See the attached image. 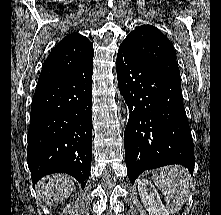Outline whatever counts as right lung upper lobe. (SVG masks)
<instances>
[{
    "mask_svg": "<svg viewBox=\"0 0 221 215\" xmlns=\"http://www.w3.org/2000/svg\"><path fill=\"white\" fill-rule=\"evenodd\" d=\"M93 45L78 33L64 37L50 52L40 73L38 84L69 75L93 59Z\"/></svg>",
    "mask_w": 221,
    "mask_h": 215,
    "instance_id": "right-lung-upper-lobe-1",
    "label": "right lung upper lobe"
}]
</instances>
